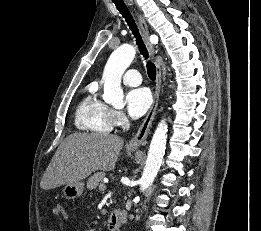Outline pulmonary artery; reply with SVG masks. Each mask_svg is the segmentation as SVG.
I'll return each mask as SVG.
<instances>
[{
	"label": "pulmonary artery",
	"mask_w": 261,
	"mask_h": 231,
	"mask_svg": "<svg viewBox=\"0 0 261 231\" xmlns=\"http://www.w3.org/2000/svg\"><path fill=\"white\" fill-rule=\"evenodd\" d=\"M123 82L129 86H138L141 84V75L135 69H129L123 76Z\"/></svg>",
	"instance_id": "e3ab8cb5"
}]
</instances>
